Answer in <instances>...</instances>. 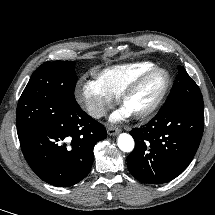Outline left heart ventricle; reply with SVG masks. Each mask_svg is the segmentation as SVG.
Returning <instances> with one entry per match:
<instances>
[{"mask_svg":"<svg viewBox=\"0 0 215 215\" xmlns=\"http://www.w3.org/2000/svg\"><path fill=\"white\" fill-rule=\"evenodd\" d=\"M164 83V75L157 73L151 76L134 94L127 100L124 108L130 113H136L147 108Z\"/></svg>","mask_w":215,"mask_h":215,"instance_id":"left-heart-ventricle-1","label":"left heart ventricle"}]
</instances>
